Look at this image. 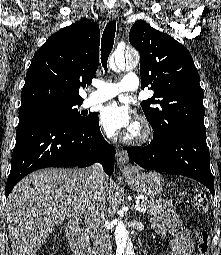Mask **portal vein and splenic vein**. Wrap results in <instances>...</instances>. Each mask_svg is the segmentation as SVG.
Masks as SVG:
<instances>
[{
  "label": "portal vein and splenic vein",
  "mask_w": 221,
  "mask_h": 255,
  "mask_svg": "<svg viewBox=\"0 0 221 255\" xmlns=\"http://www.w3.org/2000/svg\"><path fill=\"white\" fill-rule=\"evenodd\" d=\"M134 208L138 211H141V212H146V210H147L146 208H143V207L140 206V201L136 202V205L134 206Z\"/></svg>",
  "instance_id": "18ae733b"
}]
</instances>
